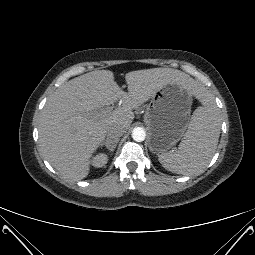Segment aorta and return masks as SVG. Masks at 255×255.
Here are the masks:
<instances>
[{
  "label": "aorta",
  "mask_w": 255,
  "mask_h": 255,
  "mask_svg": "<svg viewBox=\"0 0 255 255\" xmlns=\"http://www.w3.org/2000/svg\"><path fill=\"white\" fill-rule=\"evenodd\" d=\"M146 137V132L143 128L141 127H136L132 131V138L136 142H142L145 140Z\"/></svg>",
  "instance_id": "aorta-1"
}]
</instances>
